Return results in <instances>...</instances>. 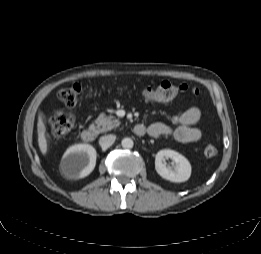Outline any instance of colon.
Returning <instances> with one entry per match:
<instances>
[{
	"label": "colon",
	"instance_id": "5ec220e1",
	"mask_svg": "<svg viewBox=\"0 0 261 254\" xmlns=\"http://www.w3.org/2000/svg\"><path fill=\"white\" fill-rule=\"evenodd\" d=\"M190 90L193 95L197 96L199 90L195 87L190 88L187 84H175L170 81H162L157 87H144L140 93L142 97L148 101H168L179 94ZM83 92V86L80 83H74L59 91V99L69 107H73L79 101V98ZM50 127L54 135L64 136L68 134L74 127L75 116L68 111H61L55 113L50 118ZM218 153L217 148L214 145H207L204 148V154L207 157H214Z\"/></svg>",
	"mask_w": 261,
	"mask_h": 254
}]
</instances>
